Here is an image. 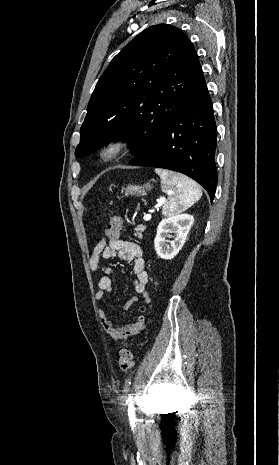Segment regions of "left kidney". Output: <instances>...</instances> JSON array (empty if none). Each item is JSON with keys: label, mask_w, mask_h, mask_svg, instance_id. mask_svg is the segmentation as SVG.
<instances>
[{"label": "left kidney", "mask_w": 279, "mask_h": 465, "mask_svg": "<svg viewBox=\"0 0 279 465\" xmlns=\"http://www.w3.org/2000/svg\"><path fill=\"white\" fill-rule=\"evenodd\" d=\"M193 222L194 217L189 214H176L163 219L154 239L157 255L165 260L173 259L183 247ZM172 238V241L168 240Z\"/></svg>", "instance_id": "left-kidney-1"}]
</instances>
